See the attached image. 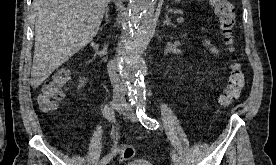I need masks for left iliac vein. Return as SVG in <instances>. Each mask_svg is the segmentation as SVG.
Here are the masks:
<instances>
[{"label":"left iliac vein","mask_w":276,"mask_h":165,"mask_svg":"<svg viewBox=\"0 0 276 165\" xmlns=\"http://www.w3.org/2000/svg\"><path fill=\"white\" fill-rule=\"evenodd\" d=\"M118 112L124 116H126L128 119H130L132 122H137V115L135 113L134 110H132L131 108H127L126 105H123L122 107H120L118 109ZM174 165H177L174 163Z\"/></svg>","instance_id":"1"}]
</instances>
